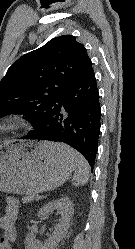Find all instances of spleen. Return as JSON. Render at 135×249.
<instances>
[{"instance_id": "1", "label": "spleen", "mask_w": 135, "mask_h": 249, "mask_svg": "<svg viewBox=\"0 0 135 249\" xmlns=\"http://www.w3.org/2000/svg\"><path fill=\"white\" fill-rule=\"evenodd\" d=\"M57 149L74 163L75 173L72 184L74 186L85 185L89 179V165L85 158L73 148L64 144H58Z\"/></svg>"}]
</instances>
